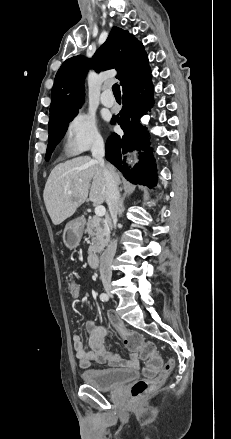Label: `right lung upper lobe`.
I'll return each mask as SVG.
<instances>
[{
	"label": "right lung upper lobe",
	"instance_id": "cb5924a9",
	"mask_svg": "<svg viewBox=\"0 0 231 439\" xmlns=\"http://www.w3.org/2000/svg\"><path fill=\"white\" fill-rule=\"evenodd\" d=\"M89 67L96 71L115 68L123 92L150 74L142 43L129 32L114 26L91 60L84 56L71 57L58 70L51 93L49 127L77 115L83 103L84 75Z\"/></svg>",
	"mask_w": 231,
	"mask_h": 439
}]
</instances>
